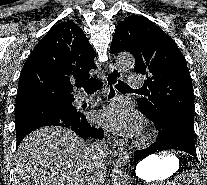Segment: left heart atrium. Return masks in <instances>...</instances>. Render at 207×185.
Segmentation results:
<instances>
[{"label": "left heart atrium", "mask_w": 207, "mask_h": 185, "mask_svg": "<svg viewBox=\"0 0 207 185\" xmlns=\"http://www.w3.org/2000/svg\"><path fill=\"white\" fill-rule=\"evenodd\" d=\"M99 121L110 130L126 136L137 135L142 127L141 117L127 102L112 104L99 113Z\"/></svg>", "instance_id": "obj_1"}]
</instances>
